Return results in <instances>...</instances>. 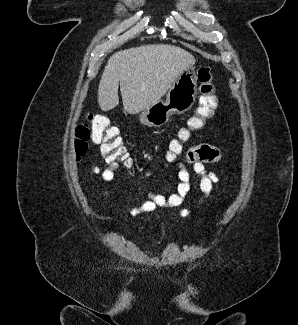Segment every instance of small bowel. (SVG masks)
<instances>
[{"label": "small bowel", "instance_id": "small-bowel-1", "mask_svg": "<svg viewBox=\"0 0 298 325\" xmlns=\"http://www.w3.org/2000/svg\"><path fill=\"white\" fill-rule=\"evenodd\" d=\"M221 158L220 151L213 145L207 143H197L190 147L184 156V160H179L176 162L178 167V178L179 184L177 186L176 193L170 194L168 196L161 194H148V200L145 201L139 207H133L129 210V215L136 217L141 213H151L157 211L159 208H176L183 204L185 196L190 191V173L186 168V164H190L196 175L200 177L199 187L203 193V197L200 200L202 203L206 197H208L217 188L218 178L215 173L209 171L206 168L208 163H217ZM155 164L157 161H154ZM106 167L95 166L91 175L98 174L102 177L104 181H111L114 178L116 170L119 168V163L110 161L106 158ZM152 172L149 170L145 173L146 178H150ZM107 196V193L104 192ZM190 213L189 209H182L180 215L182 217L188 216ZM142 230L146 229V226H142Z\"/></svg>", "mask_w": 298, "mask_h": 325}]
</instances>
